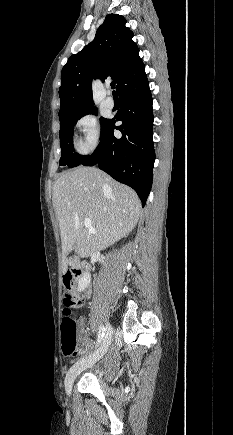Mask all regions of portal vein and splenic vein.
<instances>
[{
  "mask_svg": "<svg viewBox=\"0 0 233 435\" xmlns=\"http://www.w3.org/2000/svg\"><path fill=\"white\" fill-rule=\"evenodd\" d=\"M84 226H85V228L89 229V231L91 233H94V234L96 233L95 229L91 225V220L89 218H85Z\"/></svg>",
  "mask_w": 233,
  "mask_h": 435,
  "instance_id": "1",
  "label": "portal vein and splenic vein"
}]
</instances>
